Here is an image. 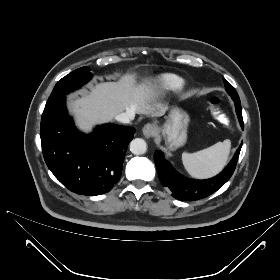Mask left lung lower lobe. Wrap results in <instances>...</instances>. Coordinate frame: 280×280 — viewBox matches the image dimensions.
<instances>
[{"label": "left lung lower lobe", "mask_w": 280, "mask_h": 280, "mask_svg": "<svg viewBox=\"0 0 280 280\" xmlns=\"http://www.w3.org/2000/svg\"><path fill=\"white\" fill-rule=\"evenodd\" d=\"M236 113L242 129L244 128L241 103L234 100ZM242 143L227 167L217 176L207 180H190L176 172L163 157L161 151L154 154V162L159 179L164 187L172 191V196L182 201H194L205 198L221 188L235 171Z\"/></svg>", "instance_id": "0a47b994"}]
</instances>
